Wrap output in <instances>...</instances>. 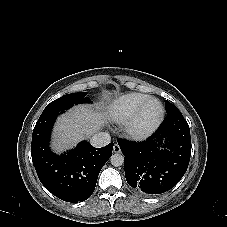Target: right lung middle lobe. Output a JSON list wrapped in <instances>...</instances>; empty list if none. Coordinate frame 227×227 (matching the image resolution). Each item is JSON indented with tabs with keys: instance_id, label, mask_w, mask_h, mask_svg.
I'll list each match as a JSON object with an SVG mask.
<instances>
[{
	"instance_id": "right-lung-middle-lobe-1",
	"label": "right lung middle lobe",
	"mask_w": 227,
	"mask_h": 227,
	"mask_svg": "<svg viewBox=\"0 0 227 227\" xmlns=\"http://www.w3.org/2000/svg\"><path fill=\"white\" fill-rule=\"evenodd\" d=\"M87 92H79L64 95L51 103L44 109L43 113L47 112H63L71 108L74 104L89 103V98L86 97Z\"/></svg>"
}]
</instances>
